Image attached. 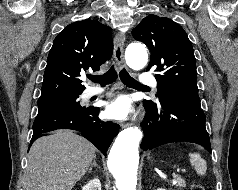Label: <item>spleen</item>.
<instances>
[{
	"mask_svg": "<svg viewBox=\"0 0 238 190\" xmlns=\"http://www.w3.org/2000/svg\"><path fill=\"white\" fill-rule=\"evenodd\" d=\"M190 163L195 167L196 172L199 175H205L207 170L206 161L201 158L198 153H191L190 155Z\"/></svg>",
	"mask_w": 238,
	"mask_h": 190,
	"instance_id": "3e777b00",
	"label": "spleen"
}]
</instances>
